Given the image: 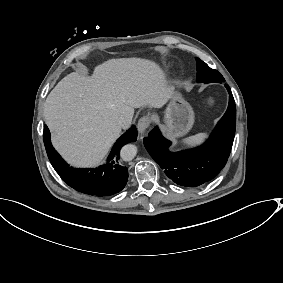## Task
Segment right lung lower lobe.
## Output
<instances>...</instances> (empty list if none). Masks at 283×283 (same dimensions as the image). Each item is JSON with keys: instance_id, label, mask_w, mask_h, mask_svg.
Segmentation results:
<instances>
[{"instance_id": "1", "label": "right lung lower lobe", "mask_w": 283, "mask_h": 283, "mask_svg": "<svg viewBox=\"0 0 283 283\" xmlns=\"http://www.w3.org/2000/svg\"><path fill=\"white\" fill-rule=\"evenodd\" d=\"M137 139V129L133 125L123 134L113 146L107 158V163L98 168L70 167L54 149L50 141L48 127L44 126L43 140L48 158L62 178L73 189L95 196H109L121 191L128 179L126 167L119 164L120 149L129 142Z\"/></svg>"}]
</instances>
